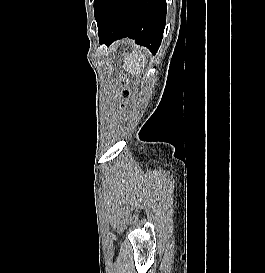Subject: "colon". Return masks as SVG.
Segmentation results:
<instances>
[{"label": "colon", "instance_id": "colon-1", "mask_svg": "<svg viewBox=\"0 0 265 273\" xmlns=\"http://www.w3.org/2000/svg\"><path fill=\"white\" fill-rule=\"evenodd\" d=\"M122 82L125 84V83H126V80L124 79ZM120 96H121V97H127L128 94H127V92H121V93H120ZM118 108H119L120 110H124V109H125V105H124V104H120V105L118 106Z\"/></svg>", "mask_w": 265, "mask_h": 273}]
</instances>
